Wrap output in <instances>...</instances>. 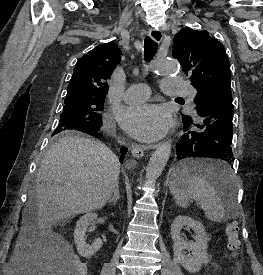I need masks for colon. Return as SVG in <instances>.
I'll list each match as a JSON object with an SVG mask.
<instances>
[{
    "instance_id": "obj_1",
    "label": "colon",
    "mask_w": 263,
    "mask_h": 275,
    "mask_svg": "<svg viewBox=\"0 0 263 275\" xmlns=\"http://www.w3.org/2000/svg\"><path fill=\"white\" fill-rule=\"evenodd\" d=\"M227 246L233 255L240 248L238 227L230 223L226 227ZM54 257L55 273L53 275H84L85 266L75 257H69L57 249H51Z\"/></svg>"
}]
</instances>
